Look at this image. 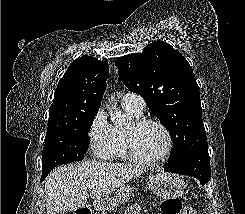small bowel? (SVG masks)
<instances>
[{
    "instance_id": "1",
    "label": "small bowel",
    "mask_w": 245,
    "mask_h": 214,
    "mask_svg": "<svg viewBox=\"0 0 245 214\" xmlns=\"http://www.w3.org/2000/svg\"><path fill=\"white\" fill-rule=\"evenodd\" d=\"M126 214H140V207L138 205H132Z\"/></svg>"
}]
</instances>
